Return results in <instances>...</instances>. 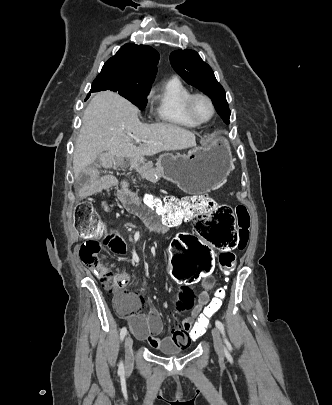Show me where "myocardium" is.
<instances>
[{
  "label": "myocardium",
  "instance_id": "f54148a6",
  "mask_svg": "<svg viewBox=\"0 0 332 405\" xmlns=\"http://www.w3.org/2000/svg\"><path fill=\"white\" fill-rule=\"evenodd\" d=\"M196 98H202V99L206 100V101L209 103V105H210V107H211V115H210V117H209L208 119H206V120H199V119L196 118V116L194 115L193 109H192V104H193V101H194ZM183 107H184V112H185L186 116H187L190 120H192L194 123H196V124H198V125H204V124L210 122V121L214 118V116H215V114H216V107H215V104H214L213 100L211 99V97H209L207 94L201 93V92L190 93V94L185 98Z\"/></svg>",
  "mask_w": 332,
  "mask_h": 405
}]
</instances>
